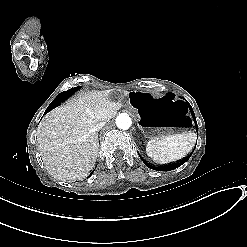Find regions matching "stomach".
Returning <instances> with one entry per match:
<instances>
[{"label": "stomach", "mask_w": 247, "mask_h": 247, "mask_svg": "<svg viewBox=\"0 0 247 247\" xmlns=\"http://www.w3.org/2000/svg\"><path fill=\"white\" fill-rule=\"evenodd\" d=\"M129 104L145 137L161 139L186 133L192 126L186 103L172 93L159 96L149 91H132Z\"/></svg>", "instance_id": "0dacf381"}]
</instances>
